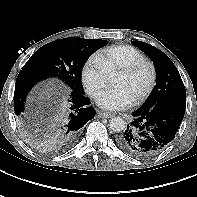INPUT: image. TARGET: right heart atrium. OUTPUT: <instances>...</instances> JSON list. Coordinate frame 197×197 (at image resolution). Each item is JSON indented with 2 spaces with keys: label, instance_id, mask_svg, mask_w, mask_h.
<instances>
[{
  "label": "right heart atrium",
  "instance_id": "1",
  "mask_svg": "<svg viewBox=\"0 0 197 197\" xmlns=\"http://www.w3.org/2000/svg\"><path fill=\"white\" fill-rule=\"evenodd\" d=\"M109 74L96 55L89 57L81 69V81L87 93L95 97L108 82Z\"/></svg>",
  "mask_w": 197,
  "mask_h": 197
}]
</instances>
